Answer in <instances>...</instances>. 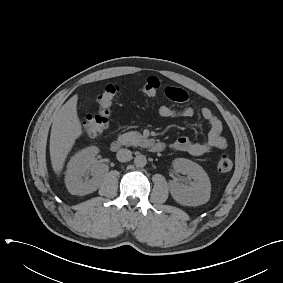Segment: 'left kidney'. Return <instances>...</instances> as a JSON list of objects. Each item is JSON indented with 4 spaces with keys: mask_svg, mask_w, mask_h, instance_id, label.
<instances>
[{
    "mask_svg": "<svg viewBox=\"0 0 283 283\" xmlns=\"http://www.w3.org/2000/svg\"><path fill=\"white\" fill-rule=\"evenodd\" d=\"M173 167L176 172L193 179L190 186L171 181L169 189L173 199L185 206H198L207 203L210 199L211 183L203 168L185 158L175 159Z\"/></svg>",
    "mask_w": 283,
    "mask_h": 283,
    "instance_id": "5707ae66",
    "label": "left kidney"
}]
</instances>
